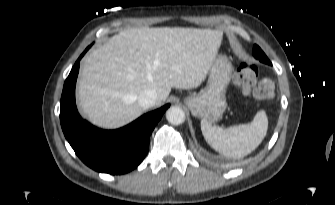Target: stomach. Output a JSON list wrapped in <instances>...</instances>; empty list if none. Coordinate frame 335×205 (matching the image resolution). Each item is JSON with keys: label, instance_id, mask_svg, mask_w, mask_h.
Instances as JSON below:
<instances>
[{"label": "stomach", "instance_id": "1", "mask_svg": "<svg viewBox=\"0 0 335 205\" xmlns=\"http://www.w3.org/2000/svg\"><path fill=\"white\" fill-rule=\"evenodd\" d=\"M232 64L225 55H216L209 71L206 87L198 94L187 96L185 105L194 116L214 122L226 109V89L231 81Z\"/></svg>", "mask_w": 335, "mask_h": 205}]
</instances>
